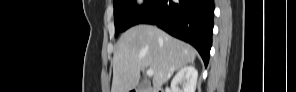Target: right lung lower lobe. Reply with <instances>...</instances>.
Returning a JSON list of instances; mask_svg holds the SVG:
<instances>
[{"mask_svg": "<svg viewBox=\"0 0 296 92\" xmlns=\"http://www.w3.org/2000/svg\"><path fill=\"white\" fill-rule=\"evenodd\" d=\"M213 14V0H159L139 23L155 24L192 44L207 66L212 45Z\"/></svg>", "mask_w": 296, "mask_h": 92, "instance_id": "right-lung-lower-lobe-1", "label": "right lung lower lobe"}]
</instances>
